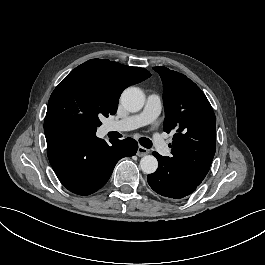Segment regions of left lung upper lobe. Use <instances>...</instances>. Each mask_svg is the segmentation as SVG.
I'll use <instances>...</instances> for the list:
<instances>
[{
  "instance_id": "left-lung-upper-lobe-1",
  "label": "left lung upper lobe",
  "mask_w": 265,
  "mask_h": 265,
  "mask_svg": "<svg viewBox=\"0 0 265 265\" xmlns=\"http://www.w3.org/2000/svg\"><path fill=\"white\" fill-rule=\"evenodd\" d=\"M163 82V129L175 131L168 162L201 183L216 151V118L201 89L185 75L166 67H154Z\"/></svg>"
}]
</instances>
